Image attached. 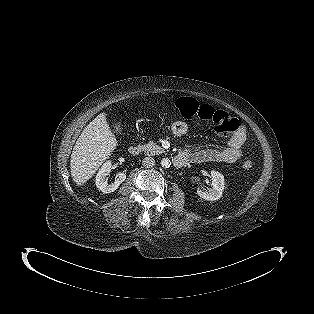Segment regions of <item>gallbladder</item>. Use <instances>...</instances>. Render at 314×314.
<instances>
[{
    "label": "gallbladder",
    "mask_w": 314,
    "mask_h": 314,
    "mask_svg": "<svg viewBox=\"0 0 314 314\" xmlns=\"http://www.w3.org/2000/svg\"><path fill=\"white\" fill-rule=\"evenodd\" d=\"M113 127H114V130H115V132H116L117 134H122L123 128H122V125H121L120 122L114 121V122H113Z\"/></svg>",
    "instance_id": "1"
}]
</instances>
